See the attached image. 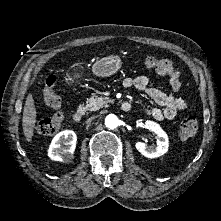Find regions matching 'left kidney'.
Here are the masks:
<instances>
[{
	"label": "left kidney",
	"instance_id": "5707ae66",
	"mask_svg": "<svg viewBox=\"0 0 221 221\" xmlns=\"http://www.w3.org/2000/svg\"><path fill=\"white\" fill-rule=\"evenodd\" d=\"M145 126L157 137L156 147H148L143 142L135 144L136 149L147 158H157L164 155L168 151L169 141L166 132L155 122L146 121Z\"/></svg>",
	"mask_w": 221,
	"mask_h": 221
}]
</instances>
